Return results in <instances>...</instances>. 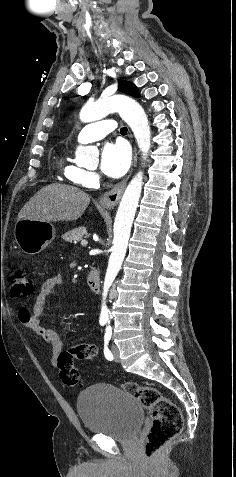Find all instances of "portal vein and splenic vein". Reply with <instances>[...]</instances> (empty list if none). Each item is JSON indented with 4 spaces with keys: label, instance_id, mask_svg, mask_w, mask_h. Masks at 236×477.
Listing matches in <instances>:
<instances>
[{
    "label": "portal vein and splenic vein",
    "instance_id": "obj_1",
    "mask_svg": "<svg viewBox=\"0 0 236 477\" xmlns=\"http://www.w3.org/2000/svg\"><path fill=\"white\" fill-rule=\"evenodd\" d=\"M87 244H88L87 240H82V241H81V245H82V246H86Z\"/></svg>",
    "mask_w": 236,
    "mask_h": 477
}]
</instances>
